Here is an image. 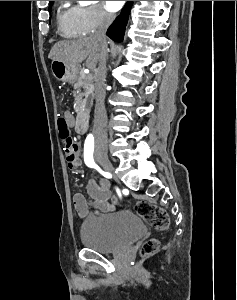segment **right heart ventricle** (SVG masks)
<instances>
[{
  "label": "right heart ventricle",
  "instance_id": "right-heart-ventricle-1",
  "mask_svg": "<svg viewBox=\"0 0 237 300\" xmlns=\"http://www.w3.org/2000/svg\"><path fill=\"white\" fill-rule=\"evenodd\" d=\"M69 3V1L60 3L57 22L59 30L64 36H75L81 33L78 27V9Z\"/></svg>",
  "mask_w": 237,
  "mask_h": 300
}]
</instances>
